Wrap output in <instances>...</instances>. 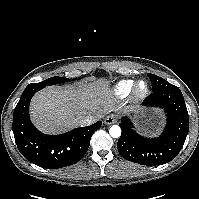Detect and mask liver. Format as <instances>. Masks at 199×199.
<instances>
[{"label":"liver","instance_id":"1","mask_svg":"<svg viewBox=\"0 0 199 199\" xmlns=\"http://www.w3.org/2000/svg\"><path fill=\"white\" fill-rule=\"evenodd\" d=\"M107 83H78L61 88L47 87L32 98L30 113L35 126L44 133L57 134L80 126L87 115L101 118L107 111Z\"/></svg>","mask_w":199,"mask_h":199}]
</instances>
